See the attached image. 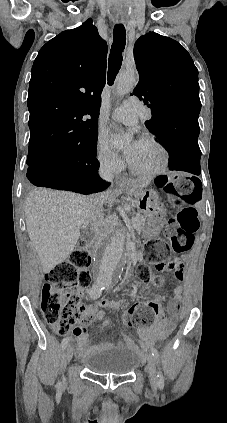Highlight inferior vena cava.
Here are the masks:
<instances>
[{
    "instance_id": "inferior-vena-cava-1",
    "label": "inferior vena cava",
    "mask_w": 227,
    "mask_h": 423,
    "mask_svg": "<svg viewBox=\"0 0 227 423\" xmlns=\"http://www.w3.org/2000/svg\"><path fill=\"white\" fill-rule=\"evenodd\" d=\"M112 162L113 156H110L108 160H102V162H100L99 176H101L103 180H106V182H112V180H114V176L112 174ZM99 204L100 202H97V206H99ZM87 206H89V208H94L93 200H90ZM92 213L95 217H93L91 223L94 225L95 229H98L99 223H97V213H94V211H92Z\"/></svg>"
}]
</instances>
